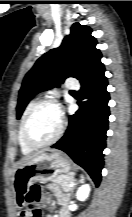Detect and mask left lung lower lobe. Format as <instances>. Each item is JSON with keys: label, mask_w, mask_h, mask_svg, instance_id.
Returning a JSON list of instances; mask_svg holds the SVG:
<instances>
[{"label": "left lung lower lobe", "mask_w": 132, "mask_h": 217, "mask_svg": "<svg viewBox=\"0 0 132 217\" xmlns=\"http://www.w3.org/2000/svg\"><path fill=\"white\" fill-rule=\"evenodd\" d=\"M101 64L84 81L79 91V110L69 117V126L64 136L52 146L67 153L72 160L83 167L96 186L101 181L103 153L108 130L109 93Z\"/></svg>", "instance_id": "1"}]
</instances>
